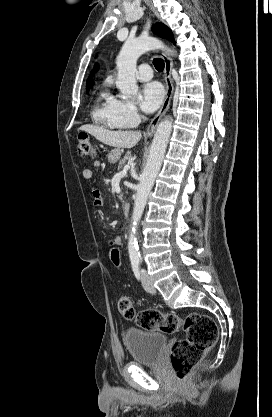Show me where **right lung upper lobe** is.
I'll return each mask as SVG.
<instances>
[{
    "mask_svg": "<svg viewBox=\"0 0 272 417\" xmlns=\"http://www.w3.org/2000/svg\"><path fill=\"white\" fill-rule=\"evenodd\" d=\"M97 70V67L94 69V71ZM94 82L91 79V76L89 77L88 81H87V88H90L91 86H93Z\"/></svg>",
    "mask_w": 272,
    "mask_h": 417,
    "instance_id": "right-lung-upper-lobe-1",
    "label": "right lung upper lobe"
}]
</instances>
